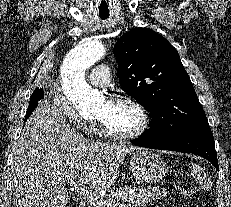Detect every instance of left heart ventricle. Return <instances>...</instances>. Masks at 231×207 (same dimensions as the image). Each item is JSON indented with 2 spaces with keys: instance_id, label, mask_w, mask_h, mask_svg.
Wrapping results in <instances>:
<instances>
[{
  "instance_id": "obj_1",
  "label": "left heart ventricle",
  "mask_w": 231,
  "mask_h": 207,
  "mask_svg": "<svg viewBox=\"0 0 231 207\" xmlns=\"http://www.w3.org/2000/svg\"><path fill=\"white\" fill-rule=\"evenodd\" d=\"M97 117L116 133H130L140 125L137 111L128 104L103 102Z\"/></svg>"
}]
</instances>
